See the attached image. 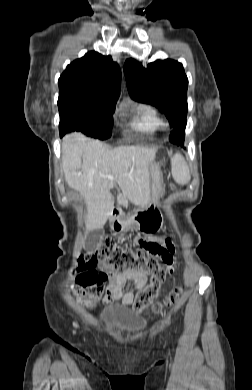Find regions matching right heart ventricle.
<instances>
[{"label": "right heart ventricle", "instance_id": "obj_1", "mask_svg": "<svg viewBox=\"0 0 252 390\" xmlns=\"http://www.w3.org/2000/svg\"><path fill=\"white\" fill-rule=\"evenodd\" d=\"M164 126L158 111L151 106L141 105L137 108L133 127L142 132H156Z\"/></svg>", "mask_w": 252, "mask_h": 390}]
</instances>
